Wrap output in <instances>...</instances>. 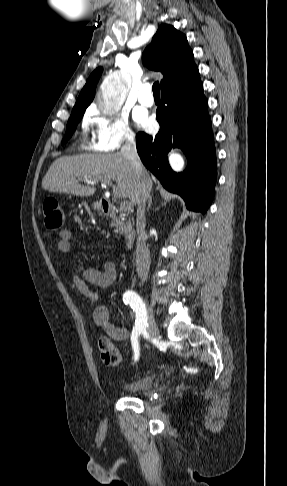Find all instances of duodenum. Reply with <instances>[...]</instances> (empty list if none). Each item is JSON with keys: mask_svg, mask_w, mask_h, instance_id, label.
<instances>
[{"mask_svg": "<svg viewBox=\"0 0 287 486\" xmlns=\"http://www.w3.org/2000/svg\"><path fill=\"white\" fill-rule=\"evenodd\" d=\"M99 205H100L102 212L105 215L110 216V217H114L116 215V208L109 200L102 199V200H100ZM124 236H125L126 246L128 248H131L132 245L134 244L135 238H136L135 231L133 229H127V230H125Z\"/></svg>", "mask_w": 287, "mask_h": 486, "instance_id": "410a0bca", "label": "duodenum"}]
</instances>
